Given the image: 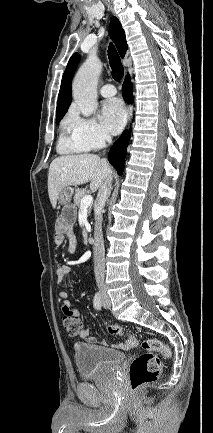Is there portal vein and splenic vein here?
Listing matches in <instances>:
<instances>
[{
	"label": "portal vein and splenic vein",
	"instance_id": "1",
	"mask_svg": "<svg viewBox=\"0 0 213 433\" xmlns=\"http://www.w3.org/2000/svg\"><path fill=\"white\" fill-rule=\"evenodd\" d=\"M93 201V197L91 195H86L85 197L82 198L81 200V208H87L91 205Z\"/></svg>",
	"mask_w": 213,
	"mask_h": 433
}]
</instances>
